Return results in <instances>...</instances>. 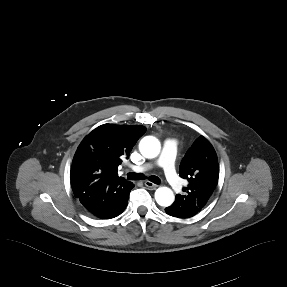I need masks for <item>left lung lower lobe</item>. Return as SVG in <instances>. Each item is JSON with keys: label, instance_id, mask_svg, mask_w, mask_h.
I'll return each mask as SVG.
<instances>
[{"label": "left lung lower lobe", "instance_id": "obj_1", "mask_svg": "<svg viewBox=\"0 0 287 287\" xmlns=\"http://www.w3.org/2000/svg\"><path fill=\"white\" fill-rule=\"evenodd\" d=\"M165 211L168 215L179 217V218H189V217L194 216L197 213L193 209L184 208L183 205H181V202L178 201L177 199L171 206L165 208Z\"/></svg>", "mask_w": 287, "mask_h": 287}]
</instances>
